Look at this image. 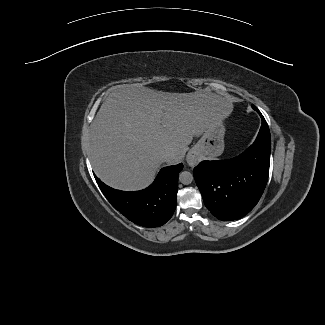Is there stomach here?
<instances>
[{
  "label": "stomach",
  "mask_w": 325,
  "mask_h": 325,
  "mask_svg": "<svg viewBox=\"0 0 325 325\" xmlns=\"http://www.w3.org/2000/svg\"><path fill=\"white\" fill-rule=\"evenodd\" d=\"M224 132L222 121L209 126L192 151L199 158H215L221 155L224 150Z\"/></svg>",
  "instance_id": "0dacf381"
}]
</instances>
